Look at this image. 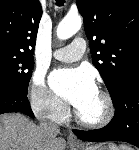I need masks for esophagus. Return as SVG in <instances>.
Here are the masks:
<instances>
[{
	"mask_svg": "<svg viewBox=\"0 0 139 150\" xmlns=\"http://www.w3.org/2000/svg\"><path fill=\"white\" fill-rule=\"evenodd\" d=\"M67 140H68L69 144H72V145H81L80 141L77 139V137L72 132H70L68 134Z\"/></svg>",
	"mask_w": 139,
	"mask_h": 150,
	"instance_id": "esophagus-1",
	"label": "esophagus"
}]
</instances>
